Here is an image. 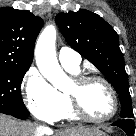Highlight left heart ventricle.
Instances as JSON below:
<instances>
[{
	"label": "left heart ventricle",
	"instance_id": "b2bd125f",
	"mask_svg": "<svg viewBox=\"0 0 136 136\" xmlns=\"http://www.w3.org/2000/svg\"><path fill=\"white\" fill-rule=\"evenodd\" d=\"M73 83L68 91H73ZM81 102L85 112L93 118H103L109 115L113 109L110 92L100 82H92L81 92Z\"/></svg>",
	"mask_w": 136,
	"mask_h": 136
}]
</instances>
